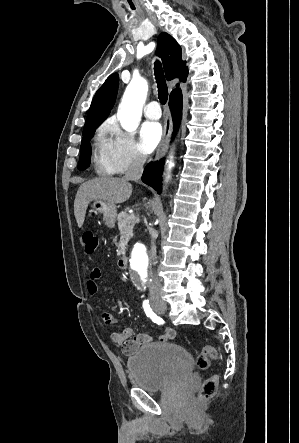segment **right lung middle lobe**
<instances>
[{"mask_svg": "<svg viewBox=\"0 0 299 443\" xmlns=\"http://www.w3.org/2000/svg\"><path fill=\"white\" fill-rule=\"evenodd\" d=\"M99 125H95L89 128H86L85 130H83V138H82V142H81V155H80V160H79V164H78V169L79 170H84L86 169L89 164H90V159H91V144L89 143V140L92 138L95 129L98 127Z\"/></svg>", "mask_w": 299, "mask_h": 443, "instance_id": "obj_1", "label": "right lung middle lobe"}]
</instances>
